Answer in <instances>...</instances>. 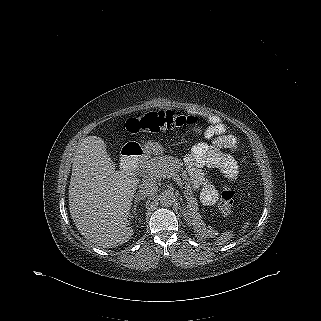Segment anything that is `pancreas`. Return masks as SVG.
<instances>
[{
  "label": "pancreas",
  "instance_id": "cf45deb5",
  "mask_svg": "<svg viewBox=\"0 0 321 321\" xmlns=\"http://www.w3.org/2000/svg\"><path fill=\"white\" fill-rule=\"evenodd\" d=\"M181 166V162L178 159H173L169 156L154 157L145 165V172L154 179H160L168 176L171 172H174ZM185 175V174H184ZM186 176V175H185ZM187 192V207L190 210L191 216L199 217L198 204L193 197L191 187L186 186Z\"/></svg>",
  "mask_w": 321,
  "mask_h": 321
}]
</instances>
